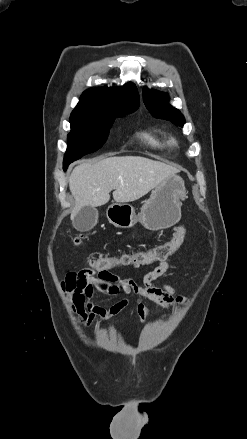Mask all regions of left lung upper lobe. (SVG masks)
Here are the masks:
<instances>
[{
    "label": "left lung upper lobe",
    "mask_w": 247,
    "mask_h": 439,
    "mask_svg": "<svg viewBox=\"0 0 247 439\" xmlns=\"http://www.w3.org/2000/svg\"><path fill=\"white\" fill-rule=\"evenodd\" d=\"M167 94L144 88L143 100L150 113L156 118L166 119L177 126L183 127L184 116L180 111L167 103Z\"/></svg>",
    "instance_id": "5c2ea615"
}]
</instances>
